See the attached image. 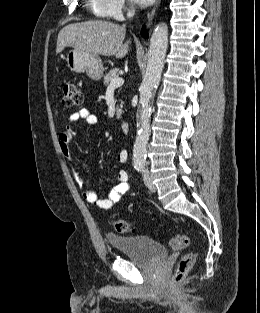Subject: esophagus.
<instances>
[{
	"mask_svg": "<svg viewBox=\"0 0 260 313\" xmlns=\"http://www.w3.org/2000/svg\"><path fill=\"white\" fill-rule=\"evenodd\" d=\"M160 4V0H157L155 6L153 7V9L151 10L150 14H149V18H148V23H150L156 13V10L158 9V6Z\"/></svg>",
	"mask_w": 260,
	"mask_h": 313,
	"instance_id": "obj_1",
	"label": "esophagus"
}]
</instances>
